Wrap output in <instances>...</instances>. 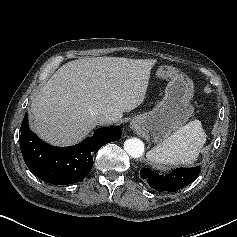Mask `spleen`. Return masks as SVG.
Here are the masks:
<instances>
[{"label": "spleen", "mask_w": 237, "mask_h": 237, "mask_svg": "<svg viewBox=\"0 0 237 237\" xmlns=\"http://www.w3.org/2000/svg\"><path fill=\"white\" fill-rule=\"evenodd\" d=\"M206 142V134L199 120L179 128L148 152V159L156 164L177 166L193 164Z\"/></svg>", "instance_id": "spleen-1"}]
</instances>
